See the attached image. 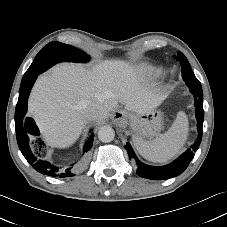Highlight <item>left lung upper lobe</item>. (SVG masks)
<instances>
[{
	"label": "left lung upper lobe",
	"mask_w": 227,
	"mask_h": 227,
	"mask_svg": "<svg viewBox=\"0 0 227 227\" xmlns=\"http://www.w3.org/2000/svg\"><path fill=\"white\" fill-rule=\"evenodd\" d=\"M178 58L181 63L182 78L185 81L186 85L189 87L190 91L202 92L201 84L195 77L187 58L181 52H178Z\"/></svg>",
	"instance_id": "1"
}]
</instances>
